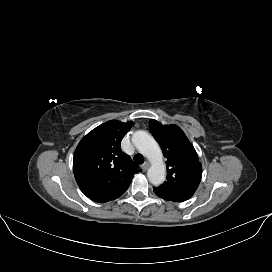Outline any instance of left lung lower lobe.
I'll return each instance as SVG.
<instances>
[{"mask_svg":"<svg viewBox=\"0 0 272 272\" xmlns=\"http://www.w3.org/2000/svg\"><path fill=\"white\" fill-rule=\"evenodd\" d=\"M154 192L157 196L165 199V200H168V201H173V202H182V201H185L187 199L185 198H181V197H177V196H172V195H169V194H166V193H163V192H160V191H157L156 189H154Z\"/></svg>","mask_w":272,"mask_h":272,"instance_id":"1","label":"left lung lower lobe"}]
</instances>
